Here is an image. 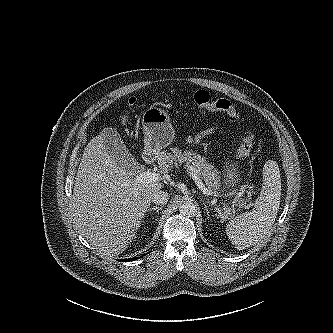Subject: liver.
Returning <instances> with one entry per match:
<instances>
[{
    "label": "liver",
    "mask_w": 333,
    "mask_h": 333,
    "mask_svg": "<svg viewBox=\"0 0 333 333\" xmlns=\"http://www.w3.org/2000/svg\"><path fill=\"white\" fill-rule=\"evenodd\" d=\"M104 134L84 149L73 190L75 226L101 255L116 257L136 236L152 194L163 185L137 182L107 153Z\"/></svg>",
    "instance_id": "6515ba94"
}]
</instances>
